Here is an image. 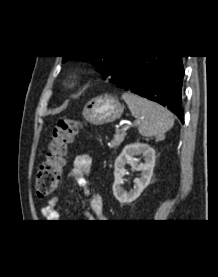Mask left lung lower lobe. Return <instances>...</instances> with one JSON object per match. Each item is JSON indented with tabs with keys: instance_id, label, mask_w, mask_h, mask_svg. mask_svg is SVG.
Wrapping results in <instances>:
<instances>
[{
	"instance_id": "left-lung-lower-lobe-1",
	"label": "left lung lower lobe",
	"mask_w": 218,
	"mask_h": 277,
	"mask_svg": "<svg viewBox=\"0 0 218 277\" xmlns=\"http://www.w3.org/2000/svg\"><path fill=\"white\" fill-rule=\"evenodd\" d=\"M181 57L135 55L110 78V82L166 106L183 123L181 88L184 68Z\"/></svg>"
}]
</instances>
